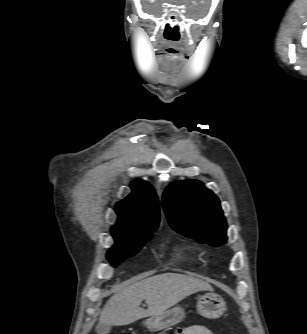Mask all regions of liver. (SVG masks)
Here are the masks:
<instances>
[{
	"label": "liver",
	"instance_id": "6515ba94",
	"mask_svg": "<svg viewBox=\"0 0 307 334\" xmlns=\"http://www.w3.org/2000/svg\"><path fill=\"white\" fill-rule=\"evenodd\" d=\"M198 291H213V288L207 282L187 275H155L118 290L104 306L99 323L128 325L162 313ZM143 300L148 305L146 310L140 307Z\"/></svg>",
	"mask_w": 307,
	"mask_h": 334
}]
</instances>
